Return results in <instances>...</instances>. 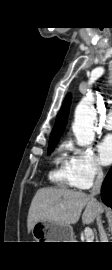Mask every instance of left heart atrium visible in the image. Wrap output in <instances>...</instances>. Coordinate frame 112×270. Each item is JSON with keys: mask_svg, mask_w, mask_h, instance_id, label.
<instances>
[{"mask_svg": "<svg viewBox=\"0 0 112 270\" xmlns=\"http://www.w3.org/2000/svg\"><path fill=\"white\" fill-rule=\"evenodd\" d=\"M98 151L103 164L112 163V135H107L99 144Z\"/></svg>", "mask_w": 112, "mask_h": 270, "instance_id": "1", "label": "left heart atrium"}]
</instances>
